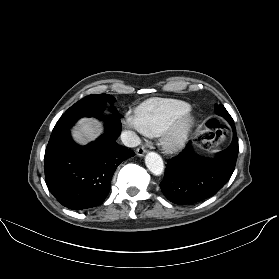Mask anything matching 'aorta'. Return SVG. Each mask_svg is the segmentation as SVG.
<instances>
[{
	"label": "aorta",
	"mask_w": 279,
	"mask_h": 279,
	"mask_svg": "<svg viewBox=\"0 0 279 279\" xmlns=\"http://www.w3.org/2000/svg\"><path fill=\"white\" fill-rule=\"evenodd\" d=\"M145 164L149 171L158 176L164 171V163L159 154L156 152H148L145 156Z\"/></svg>",
	"instance_id": "obj_1"
}]
</instances>
